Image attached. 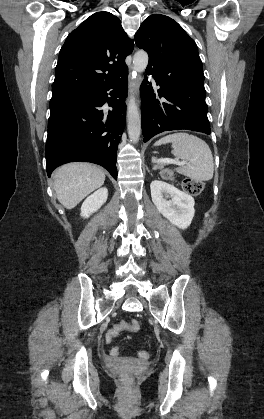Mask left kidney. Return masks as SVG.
Returning <instances> with one entry per match:
<instances>
[{"mask_svg":"<svg viewBox=\"0 0 264 419\" xmlns=\"http://www.w3.org/2000/svg\"><path fill=\"white\" fill-rule=\"evenodd\" d=\"M151 197L158 211L173 225L186 229L194 217V199L171 184L154 180L150 185Z\"/></svg>","mask_w":264,"mask_h":419,"instance_id":"obj_1","label":"left kidney"}]
</instances>
